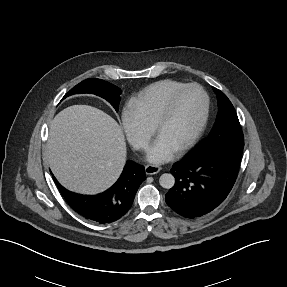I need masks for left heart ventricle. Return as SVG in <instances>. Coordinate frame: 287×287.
Wrapping results in <instances>:
<instances>
[{
    "label": "left heart ventricle",
    "mask_w": 287,
    "mask_h": 287,
    "mask_svg": "<svg viewBox=\"0 0 287 287\" xmlns=\"http://www.w3.org/2000/svg\"><path fill=\"white\" fill-rule=\"evenodd\" d=\"M203 109V96L196 89L183 92L175 101L172 113L157 137L174 149L180 147L198 125Z\"/></svg>",
    "instance_id": "1"
}]
</instances>
